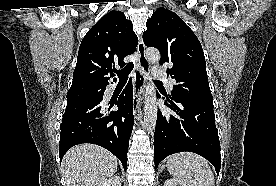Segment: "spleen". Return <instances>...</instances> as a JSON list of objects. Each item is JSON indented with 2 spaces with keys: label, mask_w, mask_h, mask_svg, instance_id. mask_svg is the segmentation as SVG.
Segmentation results:
<instances>
[{
  "label": "spleen",
  "mask_w": 276,
  "mask_h": 186,
  "mask_svg": "<svg viewBox=\"0 0 276 186\" xmlns=\"http://www.w3.org/2000/svg\"><path fill=\"white\" fill-rule=\"evenodd\" d=\"M166 167L171 175L187 186H214L215 179L211 167L203 157L182 152L170 155Z\"/></svg>",
  "instance_id": "spleen-1"
}]
</instances>
